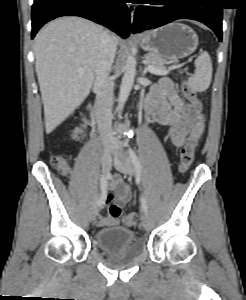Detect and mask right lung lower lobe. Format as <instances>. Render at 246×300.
Wrapping results in <instances>:
<instances>
[{
    "label": "right lung lower lobe",
    "instance_id": "1",
    "mask_svg": "<svg viewBox=\"0 0 246 300\" xmlns=\"http://www.w3.org/2000/svg\"><path fill=\"white\" fill-rule=\"evenodd\" d=\"M65 15L95 21L122 38L130 35V13L126 0H34L31 38L45 23Z\"/></svg>",
    "mask_w": 246,
    "mask_h": 300
}]
</instances>
